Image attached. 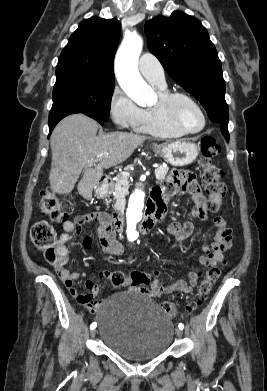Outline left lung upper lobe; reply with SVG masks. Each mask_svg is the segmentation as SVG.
<instances>
[{
    "label": "left lung upper lobe",
    "instance_id": "5c2ea615",
    "mask_svg": "<svg viewBox=\"0 0 267 391\" xmlns=\"http://www.w3.org/2000/svg\"><path fill=\"white\" fill-rule=\"evenodd\" d=\"M150 52L167 73L204 106L216 123H228L225 82L214 44L201 22L184 12L145 24Z\"/></svg>",
    "mask_w": 267,
    "mask_h": 391
}]
</instances>
